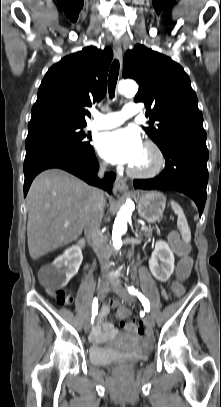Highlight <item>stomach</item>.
I'll return each mask as SVG.
<instances>
[{"instance_id": "1", "label": "stomach", "mask_w": 221, "mask_h": 407, "mask_svg": "<svg viewBox=\"0 0 221 407\" xmlns=\"http://www.w3.org/2000/svg\"><path fill=\"white\" fill-rule=\"evenodd\" d=\"M166 198L161 192H144L139 197L138 213L147 222L158 221L164 212Z\"/></svg>"}]
</instances>
